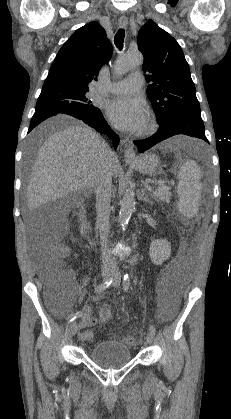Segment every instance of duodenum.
Wrapping results in <instances>:
<instances>
[{
	"label": "duodenum",
	"mask_w": 231,
	"mask_h": 419,
	"mask_svg": "<svg viewBox=\"0 0 231 419\" xmlns=\"http://www.w3.org/2000/svg\"><path fill=\"white\" fill-rule=\"evenodd\" d=\"M79 223L82 229L86 232V234L91 235L93 226L89 218L87 217V213L85 209H82L79 212Z\"/></svg>",
	"instance_id": "410a0bca"
}]
</instances>
